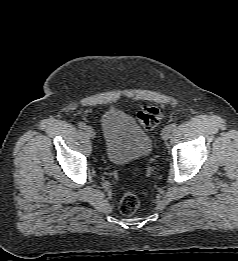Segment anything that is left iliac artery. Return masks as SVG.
I'll list each match as a JSON object with an SVG mask.
<instances>
[{
    "label": "left iliac artery",
    "instance_id": "44dca946",
    "mask_svg": "<svg viewBox=\"0 0 238 261\" xmlns=\"http://www.w3.org/2000/svg\"><path fill=\"white\" fill-rule=\"evenodd\" d=\"M170 127H171L172 130H174L177 127V124L176 123H172V124H170Z\"/></svg>",
    "mask_w": 238,
    "mask_h": 261
}]
</instances>
